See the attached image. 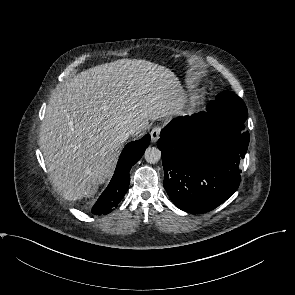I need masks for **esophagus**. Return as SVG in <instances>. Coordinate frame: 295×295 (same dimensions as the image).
<instances>
[{
	"instance_id": "esophagus-1",
	"label": "esophagus",
	"mask_w": 295,
	"mask_h": 295,
	"mask_svg": "<svg viewBox=\"0 0 295 295\" xmlns=\"http://www.w3.org/2000/svg\"><path fill=\"white\" fill-rule=\"evenodd\" d=\"M160 132H161V127L160 126H155L152 128L150 134H151V141L152 142H157V140L159 139L160 136Z\"/></svg>"
}]
</instances>
